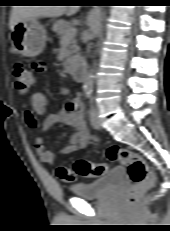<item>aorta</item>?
<instances>
[{
	"mask_svg": "<svg viewBox=\"0 0 170 231\" xmlns=\"http://www.w3.org/2000/svg\"><path fill=\"white\" fill-rule=\"evenodd\" d=\"M101 14H102V9H99L98 16H101ZM93 83H94V71L93 69H90L84 78L85 89L91 91L93 88Z\"/></svg>",
	"mask_w": 170,
	"mask_h": 231,
	"instance_id": "762f6f07",
	"label": "aorta"
}]
</instances>
